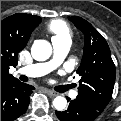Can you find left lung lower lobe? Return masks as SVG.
<instances>
[{"label":"left lung lower lobe","mask_w":121,"mask_h":121,"mask_svg":"<svg viewBox=\"0 0 121 121\" xmlns=\"http://www.w3.org/2000/svg\"><path fill=\"white\" fill-rule=\"evenodd\" d=\"M67 100L70 99L67 98ZM55 113L61 121H93L101 111H97L81 101L72 100L67 110Z\"/></svg>","instance_id":"1"}]
</instances>
